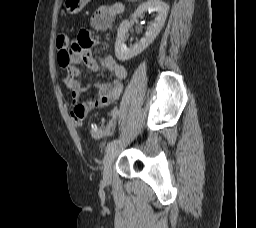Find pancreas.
<instances>
[{
	"label": "pancreas",
	"instance_id": "1",
	"mask_svg": "<svg viewBox=\"0 0 256 228\" xmlns=\"http://www.w3.org/2000/svg\"><path fill=\"white\" fill-rule=\"evenodd\" d=\"M126 1H128V2H134V1H136V0H126Z\"/></svg>",
	"mask_w": 256,
	"mask_h": 228
}]
</instances>
